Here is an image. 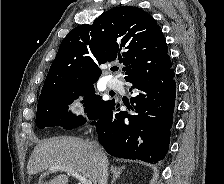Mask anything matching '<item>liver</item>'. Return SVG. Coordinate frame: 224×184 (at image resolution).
<instances>
[{
  "instance_id": "obj_1",
  "label": "liver",
  "mask_w": 224,
  "mask_h": 184,
  "mask_svg": "<svg viewBox=\"0 0 224 184\" xmlns=\"http://www.w3.org/2000/svg\"><path fill=\"white\" fill-rule=\"evenodd\" d=\"M74 169L94 184H98L97 161L89 142L76 137H53L40 142L28 161V175L38 174L51 167ZM67 175H59L48 182L38 184H68Z\"/></svg>"
}]
</instances>
